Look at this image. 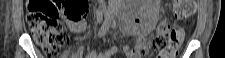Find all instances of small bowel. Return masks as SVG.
I'll return each instance as SVG.
<instances>
[{
    "label": "small bowel",
    "instance_id": "small-bowel-1",
    "mask_svg": "<svg viewBox=\"0 0 225 58\" xmlns=\"http://www.w3.org/2000/svg\"><path fill=\"white\" fill-rule=\"evenodd\" d=\"M65 23L68 26L69 30L74 33H82L86 30L87 24L85 20H79V21H70L65 18ZM148 31H141L135 27L129 28V33L134 34L137 36V40L135 45L145 43L146 42V33ZM134 48V47H133ZM119 51V48L117 46H111L106 51H103L99 54H96L95 52L88 53L86 58H112L115 54H117ZM123 51L126 54L127 58H131V51L128 46L123 47Z\"/></svg>",
    "mask_w": 225,
    "mask_h": 58
}]
</instances>
